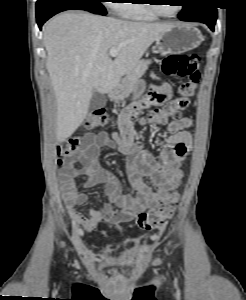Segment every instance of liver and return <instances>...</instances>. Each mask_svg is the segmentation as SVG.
<instances>
[{"instance_id":"1","label":"liver","mask_w":246,"mask_h":300,"mask_svg":"<svg viewBox=\"0 0 246 300\" xmlns=\"http://www.w3.org/2000/svg\"><path fill=\"white\" fill-rule=\"evenodd\" d=\"M172 25L124 21L86 12H64L44 27L46 68L56 104V139L82 124L94 90H115L146 50ZM112 48L119 49L114 60Z\"/></svg>"}]
</instances>
